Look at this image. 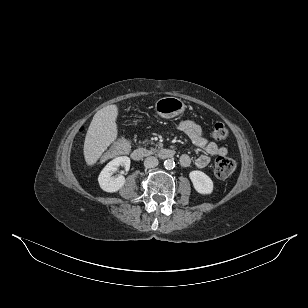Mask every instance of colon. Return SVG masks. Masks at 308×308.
Wrapping results in <instances>:
<instances>
[{"instance_id": "colon-1", "label": "colon", "mask_w": 308, "mask_h": 308, "mask_svg": "<svg viewBox=\"0 0 308 308\" xmlns=\"http://www.w3.org/2000/svg\"><path fill=\"white\" fill-rule=\"evenodd\" d=\"M229 132L226 126L222 123H216L212 130V138L215 141H225L228 138ZM130 145L127 139H119L106 154L101 156V164L109 165L112 160L130 153ZM236 163L233 159L219 156L214 165V173L220 179L228 178L235 170Z\"/></svg>"}]
</instances>
